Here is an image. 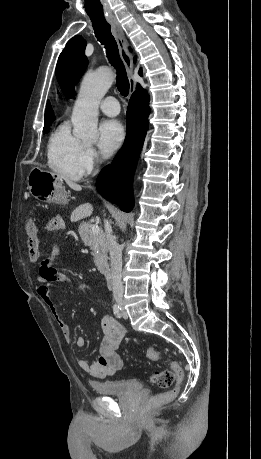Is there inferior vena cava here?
Returning a JSON list of instances; mask_svg holds the SVG:
<instances>
[{"label": "inferior vena cava", "mask_w": 261, "mask_h": 459, "mask_svg": "<svg viewBox=\"0 0 261 459\" xmlns=\"http://www.w3.org/2000/svg\"><path fill=\"white\" fill-rule=\"evenodd\" d=\"M104 225L106 230L107 246L110 253L113 297L117 303H120L122 302L124 293V286L122 282V252L112 234V228L107 220H104Z\"/></svg>", "instance_id": "obj_1"}]
</instances>
